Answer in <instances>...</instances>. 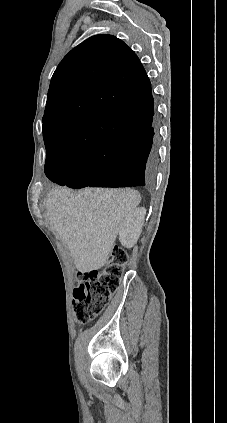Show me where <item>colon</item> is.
Instances as JSON below:
<instances>
[{"instance_id": "5ec220e1", "label": "colon", "mask_w": 227, "mask_h": 423, "mask_svg": "<svg viewBox=\"0 0 227 423\" xmlns=\"http://www.w3.org/2000/svg\"><path fill=\"white\" fill-rule=\"evenodd\" d=\"M127 260L126 252L115 248L104 269L79 273L73 298L79 323L90 322L104 310L119 287Z\"/></svg>"}]
</instances>
